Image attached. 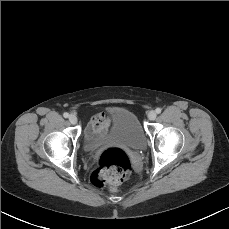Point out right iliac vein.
<instances>
[{
  "label": "right iliac vein",
  "mask_w": 229,
  "mask_h": 229,
  "mask_svg": "<svg viewBox=\"0 0 229 229\" xmlns=\"http://www.w3.org/2000/svg\"><path fill=\"white\" fill-rule=\"evenodd\" d=\"M68 119H69L70 123H72V124H76L77 121H78L77 117L75 115H73V114L70 115Z\"/></svg>",
  "instance_id": "1"
}]
</instances>
